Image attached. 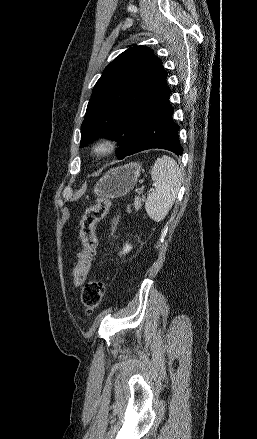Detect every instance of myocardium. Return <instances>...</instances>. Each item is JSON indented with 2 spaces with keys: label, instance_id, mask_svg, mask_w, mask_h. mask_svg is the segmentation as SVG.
Returning <instances> with one entry per match:
<instances>
[{
  "label": "myocardium",
  "instance_id": "1",
  "mask_svg": "<svg viewBox=\"0 0 257 439\" xmlns=\"http://www.w3.org/2000/svg\"><path fill=\"white\" fill-rule=\"evenodd\" d=\"M116 148L115 140L110 136L97 138L91 146V154L96 158H103L111 154Z\"/></svg>",
  "mask_w": 257,
  "mask_h": 439
}]
</instances>
